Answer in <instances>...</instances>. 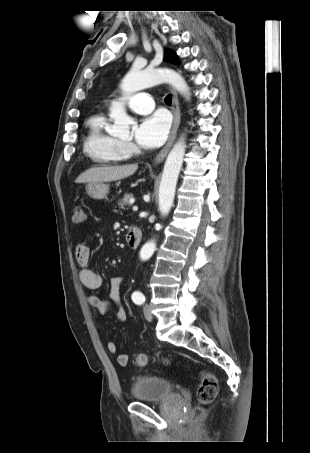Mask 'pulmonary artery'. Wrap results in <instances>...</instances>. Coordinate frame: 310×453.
Here are the masks:
<instances>
[{
  "mask_svg": "<svg viewBox=\"0 0 310 453\" xmlns=\"http://www.w3.org/2000/svg\"><path fill=\"white\" fill-rule=\"evenodd\" d=\"M123 100L132 111L138 114H147L154 109V101L147 93H136Z\"/></svg>",
  "mask_w": 310,
  "mask_h": 453,
  "instance_id": "obj_1",
  "label": "pulmonary artery"
}]
</instances>
